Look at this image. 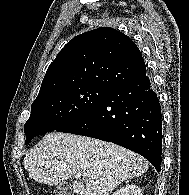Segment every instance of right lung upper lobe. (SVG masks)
I'll return each mask as SVG.
<instances>
[{
	"label": "right lung upper lobe",
	"mask_w": 189,
	"mask_h": 195,
	"mask_svg": "<svg viewBox=\"0 0 189 195\" xmlns=\"http://www.w3.org/2000/svg\"><path fill=\"white\" fill-rule=\"evenodd\" d=\"M146 72L136 44L102 27L74 37L49 65L37 97L74 87L113 89Z\"/></svg>",
	"instance_id": "cb5924a9"
}]
</instances>
